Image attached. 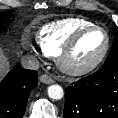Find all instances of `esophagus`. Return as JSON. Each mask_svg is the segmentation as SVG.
Returning a JSON list of instances; mask_svg holds the SVG:
<instances>
[{"label":"esophagus","instance_id":"34e87169","mask_svg":"<svg viewBox=\"0 0 118 118\" xmlns=\"http://www.w3.org/2000/svg\"><path fill=\"white\" fill-rule=\"evenodd\" d=\"M40 81L45 84H51L54 80L48 74H42L40 76Z\"/></svg>","mask_w":118,"mask_h":118}]
</instances>
